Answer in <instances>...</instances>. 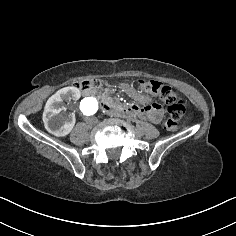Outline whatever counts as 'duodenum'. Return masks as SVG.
Wrapping results in <instances>:
<instances>
[{
	"label": "duodenum",
	"instance_id": "obj_1",
	"mask_svg": "<svg viewBox=\"0 0 236 236\" xmlns=\"http://www.w3.org/2000/svg\"><path fill=\"white\" fill-rule=\"evenodd\" d=\"M84 96H94L95 91L93 89L82 90ZM102 109L105 113L120 117H133L138 115L136 106L133 105H116L109 102H102Z\"/></svg>",
	"mask_w": 236,
	"mask_h": 236
}]
</instances>
